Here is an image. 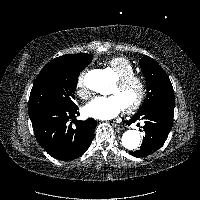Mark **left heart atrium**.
Masks as SVG:
<instances>
[{"instance_id":"1","label":"left heart atrium","mask_w":200,"mask_h":200,"mask_svg":"<svg viewBox=\"0 0 200 200\" xmlns=\"http://www.w3.org/2000/svg\"><path fill=\"white\" fill-rule=\"evenodd\" d=\"M123 109L119 99L114 95L97 97L84 107L86 115L101 120L115 118Z\"/></svg>"}]
</instances>
